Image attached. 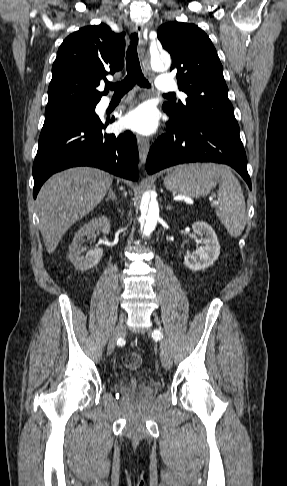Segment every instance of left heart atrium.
<instances>
[{"label":"left heart atrium","mask_w":287,"mask_h":486,"mask_svg":"<svg viewBox=\"0 0 287 486\" xmlns=\"http://www.w3.org/2000/svg\"><path fill=\"white\" fill-rule=\"evenodd\" d=\"M124 124L139 133L150 134L157 127V115L151 107L140 106L125 117Z\"/></svg>","instance_id":"1"}]
</instances>
